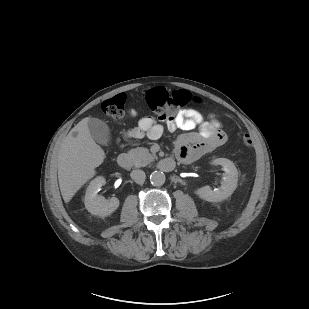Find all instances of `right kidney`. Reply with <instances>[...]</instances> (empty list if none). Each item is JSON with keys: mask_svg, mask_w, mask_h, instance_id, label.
<instances>
[{"mask_svg": "<svg viewBox=\"0 0 309 309\" xmlns=\"http://www.w3.org/2000/svg\"><path fill=\"white\" fill-rule=\"evenodd\" d=\"M105 184L106 180L103 176L96 177L90 182L84 198L85 208L88 212L100 217L112 214L119 207L118 198L112 197L110 200H106L103 196L97 195L99 189Z\"/></svg>", "mask_w": 309, "mask_h": 309, "instance_id": "1", "label": "right kidney"}]
</instances>
